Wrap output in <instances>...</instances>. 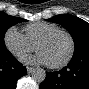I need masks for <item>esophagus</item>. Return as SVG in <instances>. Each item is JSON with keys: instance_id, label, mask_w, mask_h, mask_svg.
I'll use <instances>...</instances> for the list:
<instances>
[{"instance_id": "1", "label": "esophagus", "mask_w": 89, "mask_h": 89, "mask_svg": "<svg viewBox=\"0 0 89 89\" xmlns=\"http://www.w3.org/2000/svg\"><path fill=\"white\" fill-rule=\"evenodd\" d=\"M35 69L33 68V67H27V72L28 73H31V72H33Z\"/></svg>"}]
</instances>
